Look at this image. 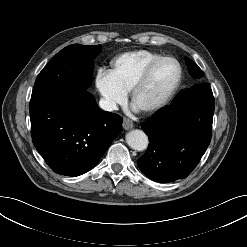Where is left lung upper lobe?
I'll use <instances>...</instances> for the list:
<instances>
[{
	"label": "left lung upper lobe",
	"instance_id": "1",
	"mask_svg": "<svg viewBox=\"0 0 247 247\" xmlns=\"http://www.w3.org/2000/svg\"><path fill=\"white\" fill-rule=\"evenodd\" d=\"M186 64H187V67H188V71L190 73V75L193 77V78H196V79H200L201 77L204 76V73L203 71L197 66V64L192 61L191 59L189 58H186ZM188 89H184L182 90L180 93H178V96L182 95L183 93H185Z\"/></svg>",
	"mask_w": 247,
	"mask_h": 247
}]
</instances>
